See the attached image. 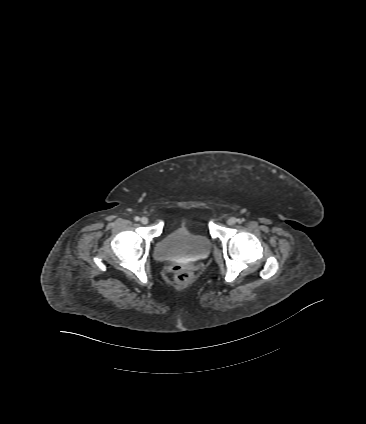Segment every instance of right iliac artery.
<instances>
[{
	"label": "right iliac artery",
	"instance_id": "1",
	"mask_svg": "<svg viewBox=\"0 0 366 424\" xmlns=\"http://www.w3.org/2000/svg\"><path fill=\"white\" fill-rule=\"evenodd\" d=\"M134 219H135V221H139L140 220V218L138 216H136Z\"/></svg>",
	"mask_w": 366,
	"mask_h": 424
}]
</instances>
